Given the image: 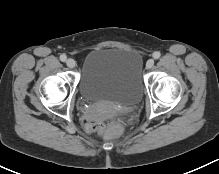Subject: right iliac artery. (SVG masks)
Returning <instances> with one entry per match:
<instances>
[{"instance_id":"82829eb1","label":"right iliac artery","mask_w":219,"mask_h":174,"mask_svg":"<svg viewBox=\"0 0 219 174\" xmlns=\"http://www.w3.org/2000/svg\"><path fill=\"white\" fill-rule=\"evenodd\" d=\"M66 59H67V56L65 55V54H62L61 56H60V60L61 61H66Z\"/></svg>"}]
</instances>
